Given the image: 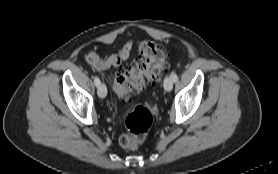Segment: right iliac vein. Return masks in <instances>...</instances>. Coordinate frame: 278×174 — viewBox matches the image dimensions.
I'll list each match as a JSON object with an SVG mask.
<instances>
[{
  "label": "right iliac vein",
  "instance_id": "obj_1",
  "mask_svg": "<svg viewBox=\"0 0 278 174\" xmlns=\"http://www.w3.org/2000/svg\"><path fill=\"white\" fill-rule=\"evenodd\" d=\"M98 96L100 98H105L107 95V88L104 84H100L97 89Z\"/></svg>",
  "mask_w": 278,
  "mask_h": 174
}]
</instances>
